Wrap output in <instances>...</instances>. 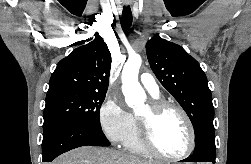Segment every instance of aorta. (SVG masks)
Listing matches in <instances>:
<instances>
[{
	"label": "aorta",
	"mask_w": 251,
	"mask_h": 164,
	"mask_svg": "<svg viewBox=\"0 0 251 164\" xmlns=\"http://www.w3.org/2000/svg\"><path fill=\"white\" fill-rule=\"evenodd\" d=\"M142 64L141 56H129L122 70V91L126 104L131 108H140L144 105L146 94L138 82V73Z\"/></svg>",
	"instance_id": "762f6f07"
}]
</instances>
